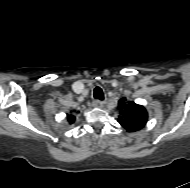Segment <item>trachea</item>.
Listing matches in <instances>:
<instances>
[{"instance_id":"3493384b","label":"trachea","mask_w":190,"mask_h":188,"mask_svg":"<svg viewBox=\"0 0 190 188\" xmlns=\"http://www.w3.org/2000/svg\"><path fill=\"white\" fill-rule=\"evenodd\" d=\"M94 98L98 100H103L104 99V94L103 91L100 87H96L94 89Z\"/></svg>"}]
</instances>
